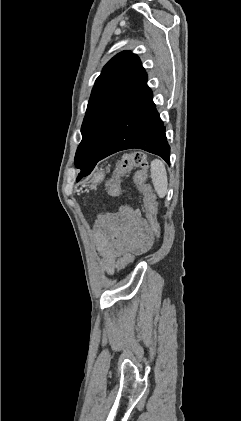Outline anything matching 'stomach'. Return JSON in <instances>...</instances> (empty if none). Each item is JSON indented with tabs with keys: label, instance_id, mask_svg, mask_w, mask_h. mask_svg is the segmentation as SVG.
<instances>
[{
	"label": "stomach",
	"instance_id": "1",
	"mask_svg": "<svg viewBox=\"0 0 241 421\" xmlns=\"http://www.w3.org/2000/svg\"><path fill=\"white\" fill-rule=\"evenodd\" d=\"M104 179V172L100 171L94 174L92 178V183L97 184L100 183Z\"/></svg>",
	"mask_w": 241,
	"mask_h": 421
}]
</instances>
